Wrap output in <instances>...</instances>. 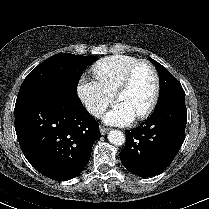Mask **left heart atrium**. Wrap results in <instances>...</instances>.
Returning <instances> with one entry per match:
<instances>
[{"label":"left heart atrium","instance_id":"left-heart-atrium-1","mask_svg":"<svg viewBox=\"0 0 209 209\" xmlns=\"http://www.w3.org/2000/svg\"><path fill=\"white\" fill-rule=\"evenodd\" d=\"M135 115L121 102L117 101L105 116L104 121L111 125H127Z\"/></svg>","mask_w":209,"mask_h":209}]
</instances>
